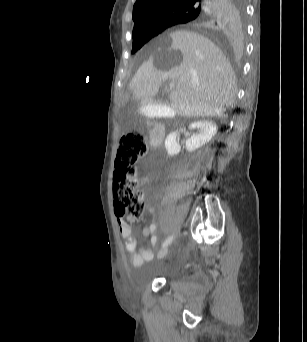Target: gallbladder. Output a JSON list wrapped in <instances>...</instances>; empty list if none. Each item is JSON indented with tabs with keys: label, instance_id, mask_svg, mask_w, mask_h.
I'll return each instance as SVG.
<instances>
[{
	"label": "gallbladder",
	"instance_id": "gallbladder-1",
	"mask_svg": "<svg viewBox=\"0 0 307 342\" xmlns=\"http://www.w3.org/2000/svg\"><path fill=\"white\" fill-rule=\"evenodd\" d=\"M134 102H138L136 106L142 114L148 110L149 118H172L174 109L170 103H159L152 95H134Z\"/></svg>",
	"mask_w": 307,
	"mask_h": 342
}]
</instances>
